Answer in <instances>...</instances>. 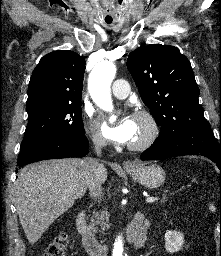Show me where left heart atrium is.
<instances>
[{"label":"left heart atrium","instance_id":"obj_1","mask_svg":"<svg viewBox=\"0 0 221 256\" xmlns=\"http://www.w3.org/2000/svg\"><path fill=\"white\" fill-rule=\"evenodd\" d=\"M103 131L107 138L118 143L133 140L136 133L135 117L125 115L115 125L103 124Z\"/></svg>","mask_w":221,"mask_h":256}]
</instances>
